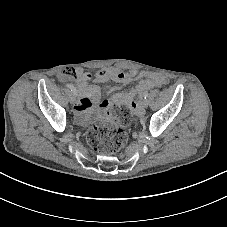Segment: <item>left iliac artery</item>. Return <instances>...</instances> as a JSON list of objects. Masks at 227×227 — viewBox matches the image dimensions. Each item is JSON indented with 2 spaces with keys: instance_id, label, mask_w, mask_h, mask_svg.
<instances>
[{
  "instance_id": "obj_1",
  "label": "left iliac artery",
  "mask_w": 227,
  "mask_h": 227,
  "mask_svg": "<svg viewBox=\"0 0 227 227\" xmlns=\"http://www.w3.org/2000/svg\"><path fill=\"white\" fill-rule=\"evenodd\" d=\"M148 95H149V93L148 92H145L144 93V99H147L148 98Z\"/></svg>"
}]
</instances>
